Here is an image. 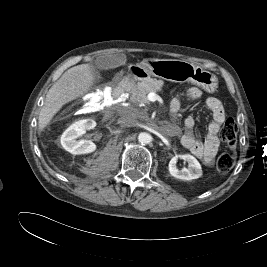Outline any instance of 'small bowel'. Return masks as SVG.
<instances>
[{
    "mask_svg": "<svg viewBox=\"0 0 267 267\" xmlns=\"http://www.w3.org/2000/svg\"><path fill=\"white\" fill-rule=\"evenodd\" d=\"M202 95L200 89L192 87L184 94L176 96L170 104L173 113L183 108L184 102H190L198 99ZM205 106L212 115V121L208 126V131L203 139H197L195 136V120L193 117H187L184 122L185 133L182 136L181 143L198 159L205 164L210 165L219 149L218 133L225 120V112L221 101L215 97H209Z\"/></svg>",
    "mask_w": 267,
    "mask_h": 267,
    "instance_id": "1",
    "label": "small bowel"
}]
</instances>
